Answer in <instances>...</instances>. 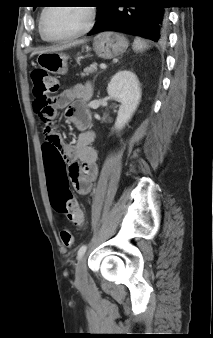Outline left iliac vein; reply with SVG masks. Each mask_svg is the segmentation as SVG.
<instances>
[{"label": "left iliac vein", "mask_w": 213, "mask_h": 338, "mask_svg": "<svg viewBox=\"0 0 213 338\" xmlns=\"http://www.w3.org/2000/svg\"><path fill=\"white\" fill-rule=\"evenodd\" d=\"M75 277H76V281L77 282H84L86 280V260L85 257H82L77 265H76V269H75Z\"/></svg>", "instance_id": "4c4485c4"}]
</instances>
